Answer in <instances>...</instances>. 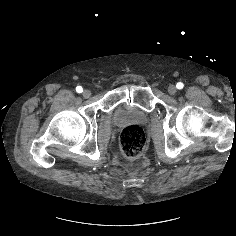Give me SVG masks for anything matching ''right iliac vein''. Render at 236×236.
Instances as JSON below:
<instances>
[{
    "mask_svg": "<svg viewBox=\"0 0 236 236\" xmlns=\"http://www.w3.org/2000/svg\"><path fill=\"white\" fill-rule=\"evenodd\" d=\"M84 98H89L91 96V91L90 90H84L82 93Z\"/></svg>",
    "mask_w": 236,
    "mask_h": 236,
    "instance_id": "right-iliac-vein-1",
    "label": "right iliac vein"
}]
</instances>
